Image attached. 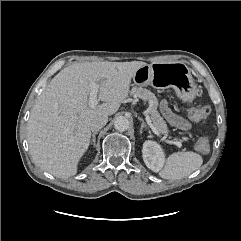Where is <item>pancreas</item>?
Returning <instances> with one entry per match:
<instances>
[{
  "instance_id": "pancreas-1",
  "label": "pancreas",
  "mask_w": 241,
  "mask_h": 241,
  "mask_svg": "<svg viewBox=\"0 0 241 241\" xmlns=\"http://www.w3.org/2000/svg\"><path fill=\"white\" fill-rule=\"evenodd\" d=\"M131 94L134 98H143L149 102L148 113L150 115L152 124L161 134H168L167 124L160 116L158 108V99L150 90L142 87H133Z\"/></svg>"
}]
</instances>
